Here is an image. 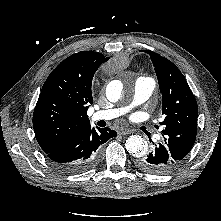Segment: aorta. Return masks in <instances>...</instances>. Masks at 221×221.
Wrapping results in <instances>:
<instances>
[{
  "instance_id": "762f6f07",
  "label": "aorta",
  "mask_w": 221,
  "mask_h": 221,
  "mask_svg": "<svg viewBox=\"0 0 221 221\" xmlns=\"http://www.w3.org/2000/svg\"><path fill=\"white\" fill-rule=\"evenodd\" d=\"M106 96L109 101L117 102L124 96V87L121 81L113 80L106 88ZM126 150L134 157H142L146 154L147 142L139 135H131L125 143Z\"/></svg>"
}]
</instances>
